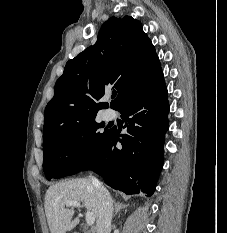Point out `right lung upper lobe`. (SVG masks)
<instances>
[{"label":"right lung upper lobe","instance_id":"cb5924a9","mask_svg":"<svg viewBox=\"0 0 227 233\" xmlns=\"http://www.w3.org/2000/svg\"><path fill=\"white\" fill-rule=\"evenodd\" d=\"M163 80L155 48L132 17L109 18L96 43L69 60L45 108L43 146L95 120L105 103L98 100L117 90L116 110Z\"/></svg>","mask_w":227,"mask_h":233}]
</instances>
